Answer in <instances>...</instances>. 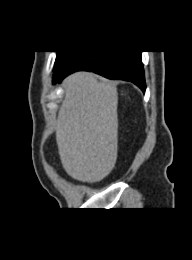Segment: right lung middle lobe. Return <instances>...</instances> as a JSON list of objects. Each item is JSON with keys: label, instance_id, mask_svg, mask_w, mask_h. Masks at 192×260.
Returning <instances> with one entry per match:
<instances>
[{"label": "right lung middle lobe", "instance_id": "1", "mask_svg": "<svg viewBox=\"0 0 192 260\" xmlns=\"http://www.w3.org/2000/svg\"><path fill=\"white\" fill-rule=\"evenodd\" d=\"M78 54L79 52L58 51L54 64V76L60 73Z\"/></svg>", "mask_w": 192, "mask_h": 260}]
</instances>
